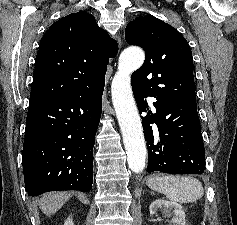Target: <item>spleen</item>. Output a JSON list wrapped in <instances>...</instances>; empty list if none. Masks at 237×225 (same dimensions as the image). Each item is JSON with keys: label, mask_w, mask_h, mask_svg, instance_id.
Masks as SVG:
<instances>
[{"label": "spleen", "mask_w": 237, "mask_h": 225, "mask_svg": "<svg viewBox=\"0 0 237 225\" xmlns=\"http://www.w3.org/2000/svg\"><path fill=\"white\" fill-rule=\"evenodd\" d=\"M148 186L179 203L196 202L204 194L202 183L192 176L156 175L149 179Z\"/></svg>", "instance_id": "1"}]
</instances>
